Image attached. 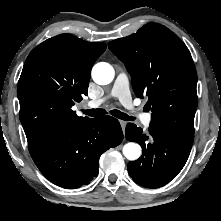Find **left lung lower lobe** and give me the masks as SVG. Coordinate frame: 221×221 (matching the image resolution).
I'll return each mask as SVG.
<instances>
[{"label": "left lung lower lobe", "instance_id": "left-lung-lower-lobe-1", "mask_svg": "<svg viewBox=\"0 0 221 221\" xmlns=\"http://www.w3.org/2000/svg\"><path fill=\"white\" fill-rule=\"evenodd\" d=\"M125 136L143 149L138 160L128 163V172L137 184L148 188L167 184L182 170L194 140V135L154 122H150L147 134L135 124L128 123Z\"/></svg>", "mask_w": 221, "mask_h": 221}]
</instances>
